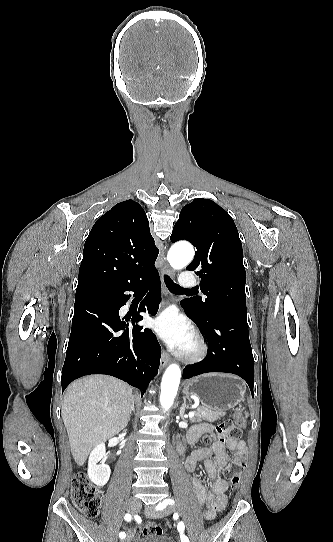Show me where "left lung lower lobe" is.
I'll list each match as a JSON object with an SVG mask.
<instances>
[{"label":"left lung lower lobe","mask_w":333,"mask_h":542,"mask_svg":"<svg viewBox=\"0 0 333 542\" xmlns=\"http://www.w3.org/2000/svg\"><path fill=\"white\" fill-rule=\"evenodd\" d=\"M199 328L207 339L208 353L201 362L186 366L183 378L208 372L233 373L247 382L253 394L254 359L246 314L233 310L223 311L215 315L211 326Z\"/></svg>","instance_id":"left-lung-lower-lobe-1"}]
</instances>
